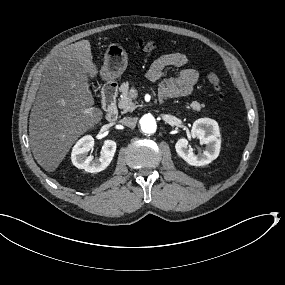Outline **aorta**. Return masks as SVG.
Segmentation results:
<instances>
[{
  "label": "aorta",
  "instance_id": "aorta-1",
  "mask_svg": "<svg viewBox=\"0 0 285 285\" xmlns=\"http://www.w3.org/2000/svg\"><path fill=\"white\" fill-rule=\"evenodd\" d=\"M135 125L140 133L150 135L158 130L160 120L155 112L145 110L137 115Z\"/></svg>",
  "mask_w": 285,
  "mask_h": 285
}]
</instances>
